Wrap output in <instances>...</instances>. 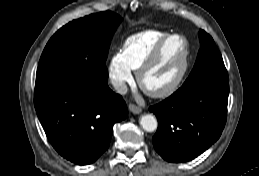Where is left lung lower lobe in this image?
Here are the masks:
<instances>
[{
	"mask_svg": "<svg viewBox=\"0 0 259 176\" xmlns=\"http://www.w3.org/2000/svg\"><path fill=\"white\" fill-rule=\"evenodd\" d=\"M228 80L202 77L149 108L158 119L153 146L163 159L190 161L220 137L226 123Z\"/></svg>",
	"mask_w": 259,
	"mask_h": 176,
	"instance_id": "1",
	"label": "left lung lower lobe"
}]
</instances>
